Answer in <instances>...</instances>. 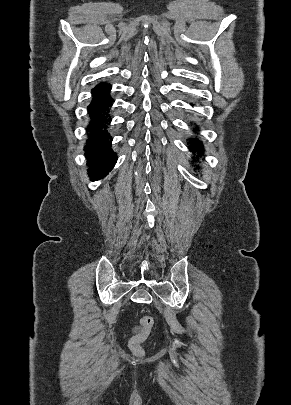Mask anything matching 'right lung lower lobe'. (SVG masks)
Instances as JSON below:
<instances>
[{
	"instance_id": "obj_1",
	"label": "right lung lower lobe",
	"mask_w": 291,
	"mask_h": 405,
	"mask_svg": "<svg viewBox=\"0 0 291 405\" xmlns=\"http://www.w3.org/2000/svg\"><path fill=\"white\" fill-rule=\"evenodd\" d=\"M111 85L100 83L92 89L93 100L88 106L91 115L89 123V138L85 147L88 173L92 181L105 177L114 167L117 155L111 149L112 137L106 132L107 124L111 120L108 115L113 102L108 94Z\"/></svg>"
}]
</instances>
